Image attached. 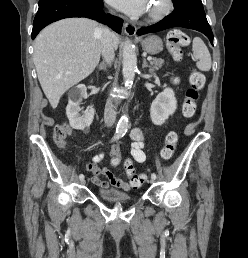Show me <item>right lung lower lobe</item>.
Returning <instances> with one entry per match:
<instances>
[{
	"mask_svg": "<svg viewBox=\"0 0 248 258\" xmlns=\"http://www.w3.org/2000/svg\"><path fill=\"white\" fill-rule=\"evenodd\" d=\"M69 17H87L107 24L117 33L121 32L123 21L103 14L102 0H40L33 22L32 39L48 24Z\"/></svg>",
	"mask_w": 248,
	"mask_h": 258,
	"instance_id": "1",
	"label": "right lung lower lobe"
}]
</instances>
